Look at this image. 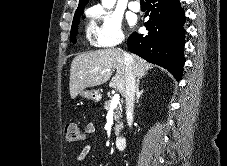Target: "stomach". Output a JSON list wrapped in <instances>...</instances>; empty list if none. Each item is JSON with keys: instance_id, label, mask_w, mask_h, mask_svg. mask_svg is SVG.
I'll use <instances>...</instances> for the list:
<instances>
[{"instance_id": "obj_1", "label": "stomach", "mask_w": 227, "mask_h": 166, "mask_svg": "<svg viewBox=\"0 0 227 166\" xmlns=\"http://www.w3.org/2000/svg\"><path fill=\"white\" fill-rule=\"evenodd\" d=\"M79 96L83 99H91L95 102H99L102 98L101 94L97 90L84 89L79 93Z\"/></svg>"}]
</instances>
